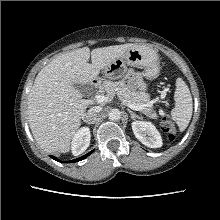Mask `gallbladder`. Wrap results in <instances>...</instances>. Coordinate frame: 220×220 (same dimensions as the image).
<instances>
[{
	"label": "gallbladder",
	"instance_id": "bac80fb5",
	"mask_svg": "<svg viewBox=\"0 0 220 220\" xmlns=\"http://www.w3.org/2000/svg\"><path fill=\"white\" fill-rule=\"evenodd\" d=\"M74 87L78 89L82 94H84L88 89V86L82 84H74Z\"/></svg>",
	"mask_w": 220,
	"mask_h": 220
}]
</instances>
